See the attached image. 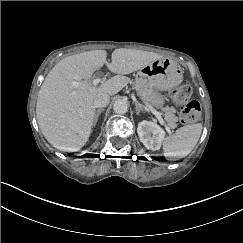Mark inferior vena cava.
Here are the masks:
<instances>
[{
  "label": "inferior vena cava",
  "mask_w": 243,
  "mask_h": 243,
  "mask_svg": "<svg viewBox=\"0 0 243 243\" xmlns=\"http://www.w3.org/2000/svg\"><path fill=\"white\" fill-rule=\"evenodd\" d=\"M110 102V96L106 93H99L94 100L95 107H106Z\"/></svg>",
  "instance_id": "602c4592"
}]
</instances>
